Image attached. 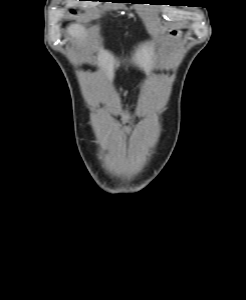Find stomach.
Wrapping results in <instances>:
<instances>
[{"label": "stomach", "instance_id": "0dacf381", "mask_svg": "<svg viewBox=\"0 0 246 300\" xmlns=\"http://www.w3.org/2000/svg\"><path fill=\"white\" fill-rule=\"evenodd\" d=\"M181 35V32L180 31H177V30H173V31H170L169 32V36L171 38H177Z\"/></svg>", "mask_w": 246, "mask_h": 300}]
</instances>
